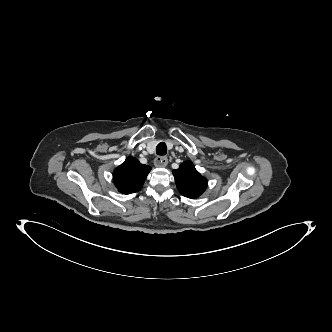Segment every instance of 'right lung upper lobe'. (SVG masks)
Wrapping results in <instances>:
<instances>
[{"label": "right lung upper lobe", "instance_id": "1", "mask_svg": "<svg viewBox=\"0 0 332 332\" xmlns=\"http://www.w3.org/2000/svg\"><path fill=\"white\" fill-rule=\"evenodd\" d=\"M151 167L141 164L136 158L128 157L113 173L118 191L130 194L141 190Z\"/></svg>", "mask_w": 332, "mask_h": 332}]
</instances>
